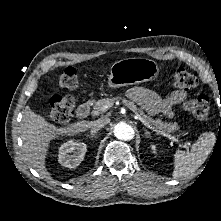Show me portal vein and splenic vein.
<instances>
[{
    "instance_id": "1",
    "label": "portal vein and splenic vein",
    "mask_w": 221,
    "mask_h": 221,
    "mask_svg": "<svg viewBox=\"0 0 221 221\" xmlns=\"http://www.w3.org/2000/svg\"><path fill=\"white\" fill-rule=\"evenodd\" d=\"M108 108H109L108 106H105V107L103 108V111H105V110L108 109ZM134 117H135V119L140 120L146 127L150 128V129H154V128H152L149 124H147V123L142 119V117H141L138 113H135V116H134ZM156 132H157V131H156ZM157 133H159V134H161V135L167 137L168 139H170V140L176 142L180 147L188 148V147L190 146L189 143H183V142H181L178 138H176L175 136H172V135L167 134V133H165V132L158 131Z\"/></svg>"
}]
</instances>
